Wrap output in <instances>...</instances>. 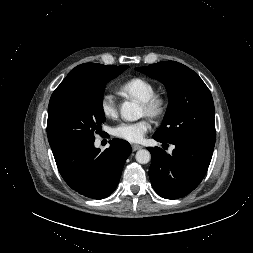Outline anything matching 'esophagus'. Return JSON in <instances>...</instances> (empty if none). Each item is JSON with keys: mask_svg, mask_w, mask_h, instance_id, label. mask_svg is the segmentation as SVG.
<instances>
[{"mask_svg": "<svg viewBox=\"0 0 253 253\" xmlns=\"http://www.w3.org/2000/svg\"><path fill=\"white\" fill-rule=\"evenodd\" d=\"M141 148H142L141 145H138V144H133V145H132V150H133V151H137V150H139V149H141Z\"/></svg>", "mask_w": 253, "mask_h": 253, "instance_id": "1", "label": "esophagus"}]
</instances>
